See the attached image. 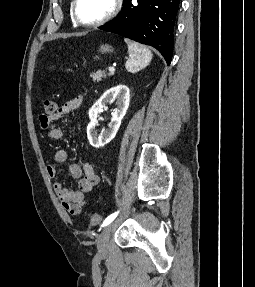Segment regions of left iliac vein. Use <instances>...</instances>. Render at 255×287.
Returning a JSON list of instances; mask_svg holds the SVG:
<instances>
[{
    "label": "left iliac vein",
    "instance_id": "1",
    "mask_svg": "<svg viewBox=\"0 0 255 287\" xmlns=\"http://www.w3.org/2000/svg\"><path fill=\"white\" fill-rule=\"evenodd\" d=\"M113 228V223L104 227L97 240V249L100 255H106L109 247L110 233Z\"/></svg>",
    "mask_w": 255,
    "mask_h": 287
}]
</instances>
